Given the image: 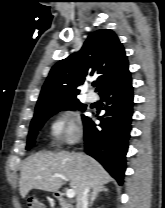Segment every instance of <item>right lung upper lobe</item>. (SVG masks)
<instances>
[{
  "label": "right lung upper lobe",
  "mask_w": 165,
  "mask_h": 208,
  "mask_svg": "<svg viewBox=\"0 0 165 208\" xmlns=\"http://www.w3.org/2000/svg\"><path fill=\"white\" fill-rule=\"evenodd\" d=\"M129 72L127 56L116 34L109 29L93 32L79 52L56 63L43 87L35 113L57 103L77 100V86L88 75H97L100 93Z\"/></svg>",
  "instance_id": "1"
}]
</instances>
